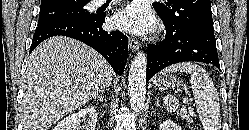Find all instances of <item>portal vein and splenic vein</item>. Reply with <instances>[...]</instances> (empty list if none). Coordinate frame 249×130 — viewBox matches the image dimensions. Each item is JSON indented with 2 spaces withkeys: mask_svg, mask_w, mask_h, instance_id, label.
I'll use <instances>...</instances> for the list:
<instances>
[{
  "mask_svg": "<svg viewBox=\"0 0 249 130\" xmlns=\"http://www.w3.org/2000/svg\"><path fill=\"white\" fill-rule=\"evenodd\" d=\"M183 103H184V104H187V103H188V98H184V99H183ZM190 113L193 114L192 111H190Z\"/></svg>",
  "mask_w": 249,
  "mask_h": 130,
  "instance_id": "portal-vein-and-splenic-vein-1",
  "label": "portal vein and splenic vein"
}]
</instances>
